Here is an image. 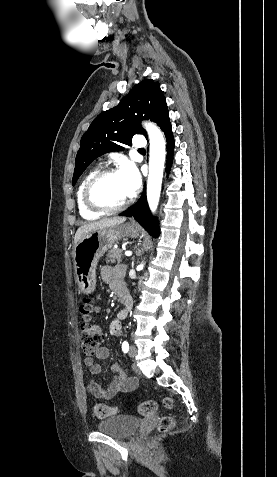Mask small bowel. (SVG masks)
Instances as JSON below:
<instances>
[{
  "label": "small bowel",
  "mask_w": 277,
  "mask_h": 477,
  "mask_svg": "<svg viewBox=\"0 0 277 477\" xmlns=\"http://www.w3.org/2000/svg\"><path fill=\"white\" fill-rule=\"evenodd\" d=\"M101 278L104 282L116 292H125L123 285V276L125 267L123 265H105L101 268ZM124 313H121L118 318L114 319L109 326V332L113 338H117L122 334L121 318ZM109 349L107 347H100L93 356H87L84 359V365L89 369L92 375H97L102 372V366L96 362L97 360H104L109 357ZM113 379L107 389H103L94 379H90L87 383L89 393L98 399L110 400L116 395L133 391L137 386V379L135 377H128L123 370L114 365L111 368Z\"/></svg>",
  "instance_id": "small-bowel-1"
}]
</instances>
